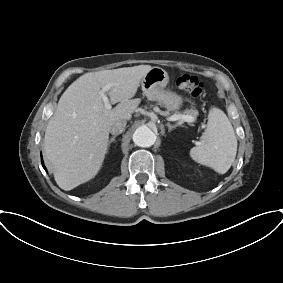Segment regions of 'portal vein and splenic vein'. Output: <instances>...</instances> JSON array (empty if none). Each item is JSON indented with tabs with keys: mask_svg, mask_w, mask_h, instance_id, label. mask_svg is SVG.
<instances>
[{
	"mask_svg": "<svg viewBox=\"0 0 283 283\" xmlns=\"http://www.w3.org/2000/svg\"><path fill=\"white\" fill-rule=\"evenodd\" d=\"M113 85L111 83L107 84L106 86L103 87V89L100 92L101 98L104 102L105 108L106 109H111V103L109 101V98L107 97V95L105 94ZM170 121H176V120H182L184 122H193L195 120V118L191 115H183V114H175L172 115L169 118Z\"/></svg>",
	"mask_w": 283,
	"mask_h": 283,
	"instance_id": "18ae733b",
	"label": "portal vein and splenic vein"
}]
</instances>
